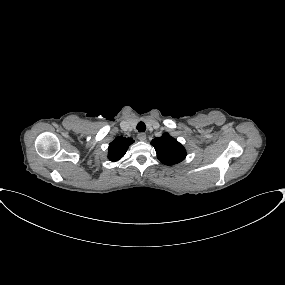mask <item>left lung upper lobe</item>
<instances>
[{
	"mask_svg": "<svg viewBox=\"0 0 285 285\" xmlns=\"http://www.w3.org/2000/svg\"><path fill=\"white\" fill-rule=\"evenodd\" d=\"M151 145L155 148L158 159L165 165L177 164L186 157L185 148L167 133L154 138Z\"/></svg>",
	"mask_w": 285,
	"mask_h": 285,
	"instance_id": "obj_1",
	"label": "left lung upper lobe"
}]
</instances>
